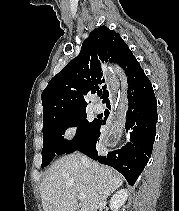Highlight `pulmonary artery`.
Masks as SVG:
<instances>
[{
    "mask_svg": "<svg viewBox=\"0 0 179 211\" xmlns=\"http://www.w3.org/2000/svg\"><path fill=\"white\" fill-rule=\"evenodd\" d=\"M93 108H94L95 112H97V113H101L103 111V106L99 102H96L94 104Z\"/></svg>",
    "mask_w": 179,
    "mask_h": 211,
    "instance_id": "e3ab8cb5",
    "label": "pulmonary artery"
}]
</instances>
